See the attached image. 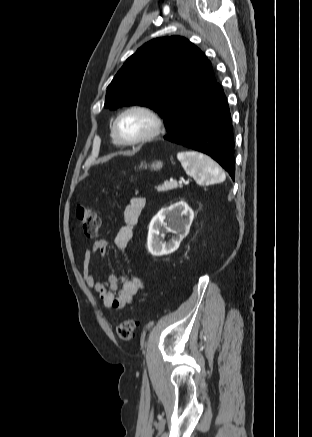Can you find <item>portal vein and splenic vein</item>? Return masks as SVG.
Listing matches in <instances>:
<instances>
[{
	"label": "portal vein and splenic vein",
	"instance_id": "portal-vein-and-splenic-vein-1",
	"mask_svg": "<svg viewBox=\"0 0 312 437\" xmlns=\"http://www.w3.org/2000/svg\"><path fill=\"white\" fill-rule=\"evenodd\" d=\"M179 183L180 184H182V183L187 184V183H189V181L188 180L187 181L186 180H180Z\"/></svg>",
	"mask_w": 312,
	"mask_h": 437
}]
</instances>
